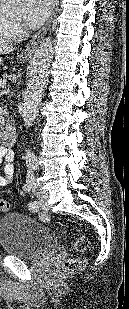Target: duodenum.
Instances as JSON below:
<instances>
[{
  "label": "duodenum",
  "mask_w": 129,
  "mask_h": 309,
  "mask_svg": "<svg viewBox=\"0 0 129 309\" xmlns=\"http://www.w3.org/2000/svg\"><path fill=\"white\" fill-rule=\"evenodd\" d=\"M17 132L15 127L8 126L3 132L2 139L6 147H12L16 141Z\"/></svg>",
  "instance_id": "410a0bca"
}]
</instances>
